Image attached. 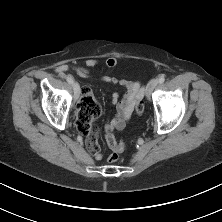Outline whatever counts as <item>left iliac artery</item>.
<instances>
[{
  "label": "left iliac artery",
  "instance_id": "44dca946",
  "mask_svg": "<svg viewBox=\"0 0 222 222\" xmlns=\"http://www.w3.org/2000/svg\"><path fill=\"white\" fill-rule=\"evenodd\" d=\"M165 81V77L164 76H161L158 80L159 83H163Z\"/></svg>",
  "mask_w": 222,
  "mask_h": 222
}]
</instances>
